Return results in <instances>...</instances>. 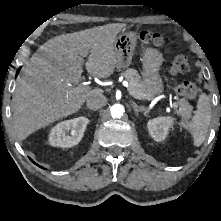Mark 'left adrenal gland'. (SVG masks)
<instances>
[{
	"label": "left adrenal gland",
	"instance_id": "obj_1",
	"mask_svg": "<svg viewBox=\"0 0 221 221\" xmlns=\"http://www.w3.org/2000/svg\"><path fill=\"white\" fill-rule=\"evenodd\" d=\"M132 107L135 110L136 114L138 115L139 112H144L145 111V107L143 106H138L136 105L134 102H132Z\"/></svg>",
	"mask_w": 221,
	"mask_h": 221
}]
</instances>
